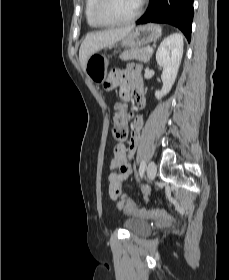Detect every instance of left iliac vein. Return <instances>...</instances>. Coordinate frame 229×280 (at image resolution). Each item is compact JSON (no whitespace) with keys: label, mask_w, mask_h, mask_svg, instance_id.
Returning a JSON list of instances; mask_svg holds the SVG:
<instances>
[{"label":"left iliac vein","mask_w":229,"mask_h":280,"mask_svg":"<svg viewBox=\"0 0 229 280\" xmlns=\"http://www.w3.org/2000/svg\"><path fill=\"white\" fill-rule=\"evenodd\" d=\"M156 171H157L156 164L153 161H150L147 167V177L150 181L155 178Z\"/></svg>","instance_id":"4c4485c4"}]
</instances>
